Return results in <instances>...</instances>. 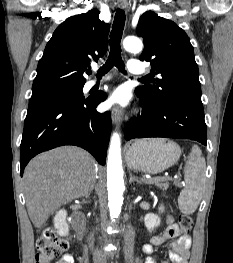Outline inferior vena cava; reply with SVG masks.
Returning <instances> with one entry per match:
<instances>
[{"label":"inferior vena cava","mask_w":233,"mask_h":263,"mask_svg":"<svg viewBox=\"0 0 233 263\" xmlns=\"http://www.w3.org/2000/svg\"><path fill=\"white\" fill-rule=\"evenodd\" d=\"M94 263H106L103 255L99 250H96L93 254Z\"/></svg>","instance_id":"602c4592"}]
</instances>
